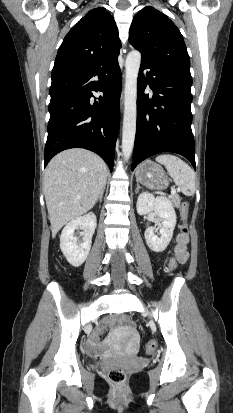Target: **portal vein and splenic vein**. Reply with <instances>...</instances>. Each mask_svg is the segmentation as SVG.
Masks as SVG:
<instances>
[{
  "label": "portal vein and splenic vein",
  "mask_w": 233,
  "mask_h": 413,
  "mask_svg": "<svg viewBox=\"0 0 233 413\" xmlns=\"http://www.w3.org/2000/svg\"><path fill=\"white\" fill-rule=\"evenodd\" d=\"M176 191H179V189L173 188V189L171 190V195H172V196L175 195V194H176Z\"/></svg>",
  "instance_id": "18ae733b"
}]
</instances>
